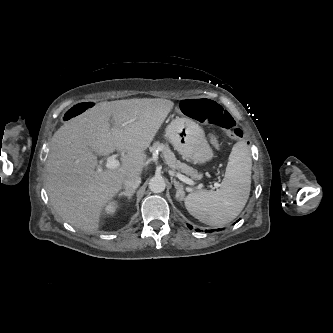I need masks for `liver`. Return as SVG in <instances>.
<instances>
[{
    "mask_svg": "<svg viewBox=\"0 0 333 333\" xmlns=\"http://www.w3.org/2000/svg\"><path fill=\"white\" fill-rule=\"evenodd\" d=\"M173 106L170 100L148 98L100 102L54 133L45 182L50 202L63 220L88 233L99 229L103 210L124 179L142 174L145 151ZM114 150L126 152L121 165L95 170L96 155Z\"/></svg>",
    "mask_w": 333,
    "mask_h": 333,
    "instance_id": "1",
    "label": "liver"
}]
</instances>
